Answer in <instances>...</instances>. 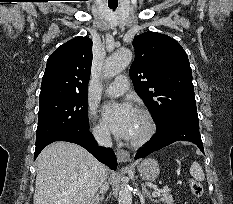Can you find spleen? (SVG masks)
<instances>
[{
  "instance_id": "1",
  "label": "spleen",
  "mask_w": 233,
  "mask_h": 204,
  "mask_svg": "<svg viewBox=\"0 0 233 204\" xmlns=\"http://www.w3.org/2000/svg\"><path fill=\"white\" fill-rule=\"evenodd\" d=\"M190 174L198 181H203L205 176L202 167L197 162H193L190 167Z\"/></svg>"
}]
</instances>
